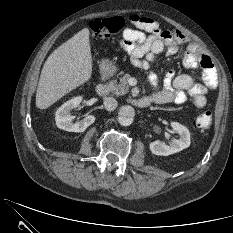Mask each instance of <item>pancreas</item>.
Instances as JSON below:
<instances>
[{
    "mask_svg": "<svg viewBox=\"0 0 233 233\" xmlns=\"http://www.w3.org/2000/svg\"><path fill=\"white\" fill-rule=\"evenodd\" d=\"M130 75L126 74L122 78L110 81L106 86L114 95H124L129 92L128 79Z\"/></svg>",
    "mask_w": 233,
    "mask_h": 233,
    "instance_id": "pancreas-1",
    "label": "pancreas"
}]
</instances>
